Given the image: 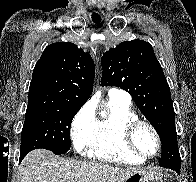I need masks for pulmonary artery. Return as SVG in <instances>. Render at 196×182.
Wrapping results in <instances>:
<instances>
[{"label": "pulmonary artery", "mask_w": 196, "mask_h": 182, "mask_svg": "<svg viewBox=\"0 0 196 182\" xmlns=\"http://www.w3.org/2000/svg\"><path fill=\"white\" fill-rule=\"evenodd\" d=\"M108 96L109 98L120 99V100H124L127 102L131 101V96L129 95V93L123 90H120L118 88H111L108 92Z\"/></svg>", "instance_id": "1"}]
</instances>
